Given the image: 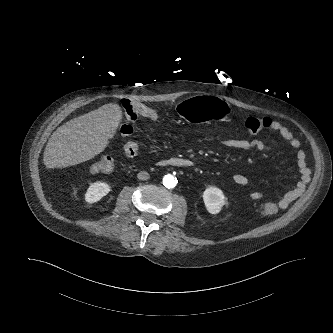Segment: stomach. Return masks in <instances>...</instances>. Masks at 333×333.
<instances>
[{
  "label": "stomach",
  "mask_w": 333,
  "mask_h": 333,
  "mask_svg": "<svg viewBox=\"0 0 333 333\" xmlns=\"http://www.w3.org/2000/svg\"><path fill=\"white\" fill-rule=\"evenodd\" d=\"M229 105L212 95H195L176 105L178 114L188 122L199 123L229 112Z\"/></svg>",
  "instance_id": "stomach-1"
}]
</instances>
